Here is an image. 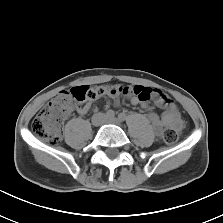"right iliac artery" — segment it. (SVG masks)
Segmentation results:
<instances>
[{
    "instance_id": "obj_1",
    "label": "right iliac artery",
    "mask_w": 223,
    "mask_h": 223,
    "mask_svg": "<svg viewBox=\"0 0 223 223\" xmlns=\"http://www.w3.org/2000/svg\"><path fill=\"white\" fill-rule=\"evenodd\" d=\"M106 116L109 117V118H112L115 116V113L113 110H108L107 113H106Z\"/></svg>"
}]
</instances>
